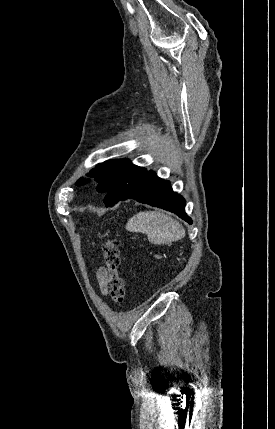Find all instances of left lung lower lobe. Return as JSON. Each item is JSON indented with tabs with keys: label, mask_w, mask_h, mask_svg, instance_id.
Segmentation results:
<instances>
[{
	"label": "left lung lower lobe",
	"mask_w": 275,
	"mask_h": 429,
	"mask_svg": "<svg viewBox=\"0 0 275 429\" xmlns=\"http://www.w3.org/2000/svg\"><path fill=\"white\" fill-rule=\"evenodd\" d=\"M107 197H118L116 187H110ZM134 199L137 202L159 207L176 213L188 223L191 219L185 213V200L182 196L173 192L169 181L163 180L152 170H147L141 177L135 180L120 201Z\"/></svg>",
	"instance_id": "1"
}]
</instances>
